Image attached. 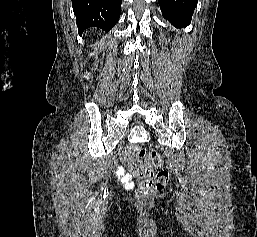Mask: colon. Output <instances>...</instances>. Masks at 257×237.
Segmentation results:
<instances>
[{"label": "colon", "mask_w": 257, "mask_h": 237, "mask_svg": "<svg viewBox=\"0 0 257 237\" xmlns=\"http://www.w3.org/2000/svg\"><path fill=\"white\" fill-rule=\"evenodd\" d=\"M125 153L136 158L130 163L132 172L142 179L138 186L136 198L139 204H147L154 194L165 188L169 182V172L161 168L163 160L156 152L147 156L143 147L130 144L126 146Z\"/></svg>", "instance_id": "5ec220e1"}]
</instances>
